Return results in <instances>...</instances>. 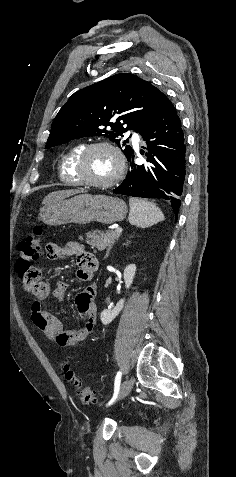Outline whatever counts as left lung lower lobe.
Listing matches in <instances>:
<instances>
[{
  "mask_svg": "<svg viewBox=\"0 0 236 477\" xmlns=\"http://www.w3.org/2000/svg\"><path fill=\"white\" fill-rule=\"evenodd\" d=\"M148 164L134 163V152L127 158L130 171L113 192L133 197L165 201L177 219L186 176V146L181 121L172 102L162 93L154 119L142 134Z\"/></svg>",
  "mask_w": 236,
  "mask_h": 477,
  "instance_id": "0a47b994",
  "label": "left lung lower lobe"
}]
</instances>
